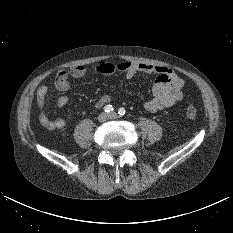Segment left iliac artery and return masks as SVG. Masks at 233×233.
Instances as JSON below:
<instances>
[{
    "label": "left iliac artery",
    "mask_w": 233,
    "mask_h": 233,
    "mask_svg": "<svg viewBox=\"0 0 233 233\" xmlns=\"http://www.w3.org/2000/svg\"><path fill=\"white\" fill-rule=\"evenodd\" d=\"M125 113H126V110L124 108H120L118 110V114L121 115V116L125 115Z\"/></svg>",
    "instance_id": "1"
}]
</instances>
